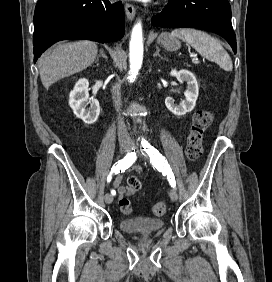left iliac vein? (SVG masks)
Returning a JSON list of instances; mask_svg holds the SVG:
<instances>
[{"label":"left iliac vein","instance_id":"obj_1","mask_svg":"<svg viewBox=\"0 0 272 282\" xmlns=\"http://www.w3.org/2000/svg\"><path fill=\"white\" fill-rule=\"evenodd\" d=\"M130 145H131L132 150L136 151L140 156L142 155V151H140L138 149V147L135 145V143L131 142ZM169 196H170L172 201H177V199H178V193L173 188L169 191Z\"/></svg>","mask_w":272,"mask_h":282}]
</instances>
